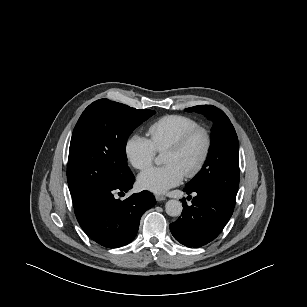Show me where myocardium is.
Masks as SVG:
<instances>
[{"mask_svg": "<svg viewBox=\"0 0 307 307\" xmlns=\"http://www.w3.org/2000/svg\"><path fill=\"white\" fill-rule=\"evenodd\" d=\"M196 135H202L204 139V147L201 155L192 167L184 173L185 177L191 178L195 176L202 166L205 164L211 148H212V137L210 131L203 126H196L176 139L171 145H169L164 152H179L181 151Z\"/></svg>", "mask_w": 307, "mask_h": 307, "instance_id": "obj_1", "label": "myocardium"}]
</instances>
